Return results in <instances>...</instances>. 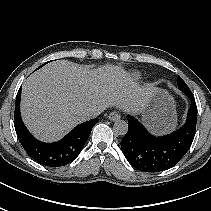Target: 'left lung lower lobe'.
Listing matches in <instances>:
<instances>
[{
	"instance_id": "obj_1",
	"label": "left lung lower lobe",
	"mask_w": 211,
	"mask_h": 211,
	"mask_svg": "<svg viewBox=\"0 0 211 211\" xmlns=\"http://www.w3.org/2000/svg\"><path fill=\"white\" fill-rule=\"evenodd\" d=\"M182 92L191 101L187 120L180 129L169 135L155 137L133 116H127L129 130L121 140V149L128 162L137 170H166L175 166L189 150L195 136L197 107L192 92Z\"/></svg>"
}]
</instances>
